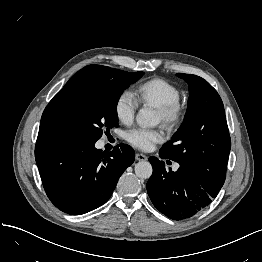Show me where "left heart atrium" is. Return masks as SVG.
<instances>
[{"label": "left heart atrium", "instance_id": "39dd6f15", "mask_svg": "<svg viewBox=\"0 0 262 262\" xmlns=\"http://www.w3.org/2000/svg\"><path fill=\"white\" fill-rule=\"evenodd\" d=\"M164 133L160 128H134L126 133L127 141L141 150H151L154 145L163 140Z\"/></svg>", "mask_w": 262, "mask_h": 262}]
</instances>
